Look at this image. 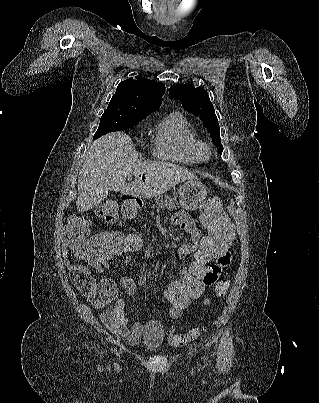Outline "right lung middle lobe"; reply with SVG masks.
I'll use <instances>...</instances> for the list:
<instances>
[{
    "label": "right lung middle lobe",
    "mask_w": 319,
    "mask_h": 403,
    "mask_svg": "<svg viewBox=\"0 0 319 403\" xmlns=\"http://www.w3.org/2000/svg\"><path fill=\"white\" fill-rule=\"evenodd\" d=\"M146 115L134 114L127 109L118 107H107L101 116L99 128L94 139L109 132L125 130L138 124Z\"/></svg>",
    "instance_id": "dd1d6c3e"
}]
</instances>
